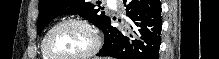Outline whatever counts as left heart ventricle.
Returning a JSON list of instances; mask_svg holds the SVG:
<instances>
[{
    "label": "left heart ventricle",
    "instance_id": "b2bd125f",
    "mask_svg": "<svg viewBox=\"0 0 219 59\" xmlns=\"http://www.w3.org/2000/svg\"><path fill=\"white\" fill-rule=\"evenodd\" d=\"M92 45L89 32L78 24H67L56 29L50 39L51 51L61 57L76 56L86 52Z\"/></svg>",
    "mask_w": 219,
    "mask_h": 59
}]
</instances>
